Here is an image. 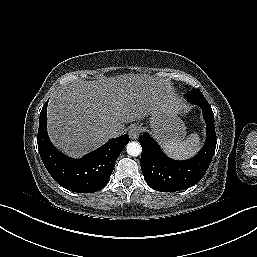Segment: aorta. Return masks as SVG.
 <instances>
[{"label": "aorta", "instance_id": "1", "mask_svg": "<svg viewBox=\"0 0 257 257\" xmlns=\"http://www.w3.org/2000/svg\"><path fill=\"white\" fill-rule=\"evenodd\" d=\"M127 153L130 156H138L141 154L142 148L138 142H129L126 147Z\"/></svg>", "mask_w": 257, "mask_h": 257}]
</instances>
